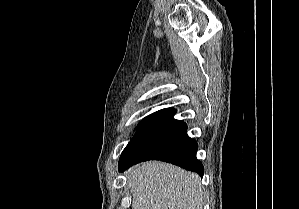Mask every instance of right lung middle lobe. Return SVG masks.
Masks as SVG:
<instances>
[{
  "label": "right lung middle lobe",
  "mask_w": 299,
  "mask_h": 209,
  "mask_svg": "<svg viewBox=\"0 0 299 209\" xmlns=\"http://www.w3.org/2000/svg\"><path fill=\"white\" fill-rule=\"evenodd\" d=\"M152 115V114H151ZM151 115H149L148 117H146L142 122H140L138 124V129H137V132L145 125V123L148 121V119L151 117ZM136 132V133H137Z\"/></svg>",
  "instance_id": "obj_1"
}]
</instances>
